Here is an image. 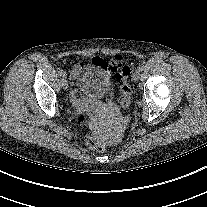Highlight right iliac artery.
I'll list each match as a JSON object with an SVG mask.
<instances>
[{
  "label": "right iliac artery",
  "instance_id": "82829eb1",
  "mask_svg": "<svg viewBox=\"0 0 207 207\" xmlns=\"http://www.w3.org/2000/svg\"><path fill=\"white\" fill-rule=\"evenodd\" d=\"M59 75H60L61 77H64V76L66 75V73H65L63 70H60V71H59Z\"/></svg>",
  "mask_w": 207,
  "mask_h": 207
}]
</instances>
